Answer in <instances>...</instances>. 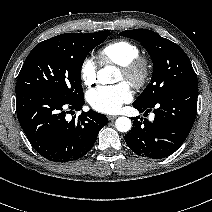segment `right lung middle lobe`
<instances>
[{"mask_svg":"<svg viewBox=\"0 0 212 212\" xmlns=\"http://www.w3.org/2000/svg\"><path fill=\"white\" fill-rule=\"evenodd\" d=\"M110 31L66 33L62 38L35 46L25 60L16 84V93L48 91L68 100L83 97L81 67L84 59L101 44Z\"/></svg>","mask_w":212,"mask_h":212,"instance_id":"obj_1","label":"right lung middle lobe"}]
</instances>
